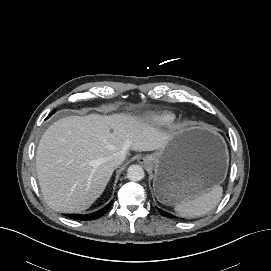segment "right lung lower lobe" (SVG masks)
Here are the masks:
<instances>
[{
	"instance_id": "98d812e1",
	"label": "right lung lower lobe",
	"mask_w": 271,
	"mask_h": 271,
	"mask_svg": "<svg viewBox=\"0 0 271 271\" xmlns=\"http://www.w3.org/2000/svg\"><path fill=\"white\" fill-rule=\"evenodd\" d=\"M111 205H112V202L109 203L103 209L96 211L94 213H90L88 215L69 214L68 217H70L71 219H76V220H81V221H88V220L97 219V218L103 216L107 212V210L110 208Z\"/></svg>"
}]
</instances>
